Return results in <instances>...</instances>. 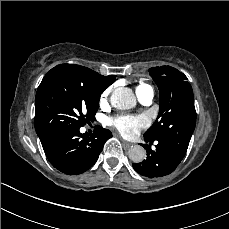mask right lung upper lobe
I'll use <instances>...</instances> for the list:
<instances>
[{
    "instance_id": "obj_1",
    "label": "right lung upper lobe",
    "mask_w": 229,
    "mask_h": 229,
    "mask_svg": "<svg viewBox=\"0 0 229 229\" xmlns=\"http://www.w3.org/2000/svg\"><path fill=\"white\" fill-rule=\"evenodd\" d=\"M51 70H62L76 75L90 91L100 95L116 81V76L114 75L102 76L87 67L76 64H60Z\"/></svg>"
}]
</instances>
